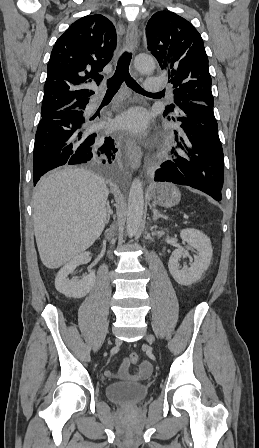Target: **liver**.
I'll list each match as a JSON object with an SVG mask.
<instances>
[{
  "label": "liver",
  "mask_w": 259,
  "mask_h": 448,
  "mask_svg": "<svg viewBox=\"0 0 259 448\" xmlns=\"http://www.w3.org/2000/svg\"><path fill=\"white\" fill-rule=\"evenodd\" d=\"M108 196L102 176L76 166L54 170L39 180L32 196V218L46 268H61L101 236Z\"/></svg>",
  "instance_id": "liver-1"
}]
</instances>
